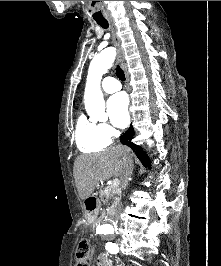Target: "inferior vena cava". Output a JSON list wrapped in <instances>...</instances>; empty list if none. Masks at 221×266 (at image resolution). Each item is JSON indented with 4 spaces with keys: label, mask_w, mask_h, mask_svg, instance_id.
Returning <instances> with one entry per match:
<instances>
[{
    "label": "inferior vena cava",
    "mask_w": 221,
    "mask_h": 266,
    "mask_svg": "<svg viewBox=\"0 0 221 266\" xmlns=\"http://www.w3.org/2000/svg\"><path fill=\"white\" fill-rule=\"evenodd\" d=\"M119 147V146H118ZM123 161H124V172L121 178V188L124 189L126 188L128 184V179L132 174V169H133V161L131 157L127 155H123Z\"/></svg>",
    "instance_id": "1"
}]
</instances>
